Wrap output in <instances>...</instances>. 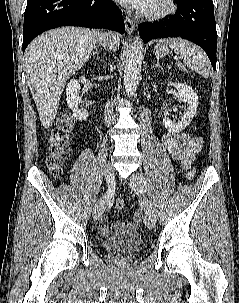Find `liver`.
Wrapping results in <instances>:
<instances>
[{
	"instance_id": "obj_1",
	"label": "liver",
	"mask_w": 239,
	"mask_h": 303,
	"mask_svg": "<svg viewBox=\"0 0 239 303\" xmlns=\"http://www.w3.org/2000/svg\"><path fill=\"white\" fill-rule=\"evenodd\" d=\"M98 40L97 30L61 27L38 36L27 47V84L44 128L52 126L67 80L86 63ZM101 42L112 51L120 45L116 34Z\"/></svg>"
}]
</instances>
